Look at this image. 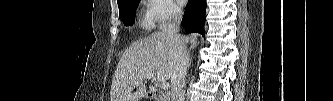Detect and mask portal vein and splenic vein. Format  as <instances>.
I'll return each instance as SVG.
<instances>
[{"label":"portal vein and splenic vein","mask_w":333,"mask_h":101,"mask_svg":"<svg viewBox=\"0 0 333 101\" xmlns=\"http://www.w3.org/2000/svg\"><path fill=\"white\" fill-rule=\"evenodd\" d=\"M147 78L155 80L156 76H155V74L151 73V74L147 75ZM161 87H162L163 90H167L169 88V83L164 81V82L161 83Z\"/></svg>","instance_id":"portal-vein-and-splenic-vein-1"}]
</instances>
